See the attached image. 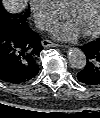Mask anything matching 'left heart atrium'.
I'll return each instance as SVG.
<instances>
[{"label":"left heart atrium","instance_id":"obj_1","mask_svg":"<svg viewBox=\"0 0 100 118\" xmlns=\"http://www.w3.org/2000/svg\"><path fill=\"white\" fill-rule=\"evenodd\" d=\"M51 31L55 38L64 41H71L80 33V30L72 21L55 24Z\"/></svg>","mask_w":100,"mask_h":118}]
</instances>
